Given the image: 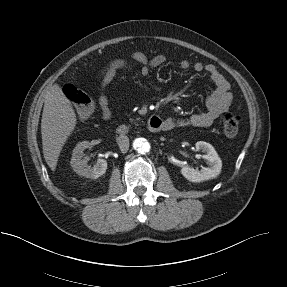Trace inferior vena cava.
<instances>
[{
    "label": "inferior vena cava",
    "instance_id": "602c4592",
    "mask_svg": "<svg viewBox=\"0 0 287 287\" xmlns=\"http://www.w3.org/2000/svg\"><path fill=\"white\" fill-rule=\"evenodd\" d=\"M117 144L122 153H126L129 149V138L126 135L117 137Z\"/></svg>",
    "mask_w": 287,
    "mask_h": 287
}]
</instances>
